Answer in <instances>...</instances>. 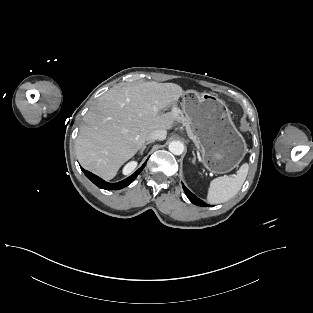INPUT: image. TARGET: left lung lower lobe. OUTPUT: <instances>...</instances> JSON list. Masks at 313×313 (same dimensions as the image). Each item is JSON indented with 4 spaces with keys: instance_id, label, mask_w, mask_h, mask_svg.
Returning <instances> with one entry per match:
<instances>
[{
    "instance_id": "obj_1",
    "label": "left lung lower lobe",
    "mask_w": 313,
    "mask_h": 313,
    "mask_svg": "<svg viewBox=\"0 0 313 313\" xmlns=\"http://www.w3.org/2000/svg\"><path fill=\"white\" fill-rule=\"evenodd\" d=\"M183 190L186 194V196L188 197V199L195 205L197 206H209L207 204H205L201 199H199L198 197H196L192 192H190L184 185H183Z\"/></svg>"
}]
</instances>
